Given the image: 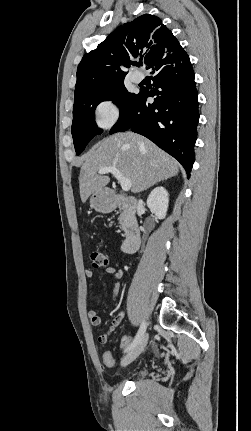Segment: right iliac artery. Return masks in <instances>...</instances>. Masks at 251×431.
I'll return each mask as SVG.
<instances>
[{
    "instance_id": "right-iliac-artery-1",
    "label": "right iliac artery",
    "mask_w": 251,
    "mask_h": 431,
    "mask_svg": "<svg viewBox=\"0 0 251 431\" xmlns=\"http://www.w3.org/2000/svg\"><path fill=\"white\" fill-rule=\"evenodd\" d=\"M146 323L144 321H142L141 326L133 340V342L131 343V345L125 350V352L131 350L134 346H136V344L140 341V339L142 338V336L144 335L145 331H146Z\"/></svg>"
}]
</instances>
